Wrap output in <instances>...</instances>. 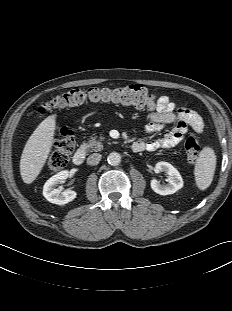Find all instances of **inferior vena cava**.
I'll use <instances>...</instances> for the list:
<instances>
[{
	"mask_svg": "<svg viewBox=\"0 0 232 311\" xmlns=\"http://www.w3.org/2000/svg\"><path fill=\"white\" fill-rule=\"evenodd\" d=\"M101 154L99 153H94L91 154L88 158H87V164L88 165H97L99 163V161L101 160Z\"/></svg>",
	"mask_w": 232,
	"mask_h": 311,
	"instance_id": "602c4592",
	"label": "inferior vena cava"
}]
</instances>
